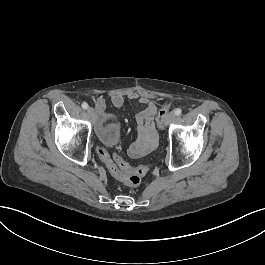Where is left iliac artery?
<instances>
[{
    "label": "left iliac artery",
    "instance_id": "obj_1",
    "mask_svg": "<svg viewBox=\"0 0 265 265\" xmlns=\"http://www.w3.org/2000/svg\"><path fill=\"white\" fill-rule=\"evenodd\" d=\"M174 113H175L176 116H180L181 113H182V110H181L180 108H176V109L174 110Z\"/></svg>",
    "mask_w": 265,
    "mask_h": 265
}]
</instances>
